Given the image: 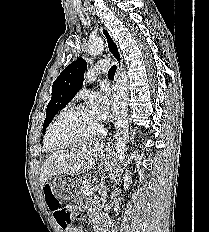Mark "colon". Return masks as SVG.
Listing matches in <instances>:
<instances>
[{
  "label": "colon",
  "mask_w": 209,
  "mask_h": 232,
  "mask_svg": "<svg viewBox=\"0 0 209 232\" xmlns=\"http://www.w3.org/2000/svg\"><path fill=\"white\" fill-rule=\"evenodd\" d=\"M45 194L47 205L52 211L56 226L68 227L72 219L70 209L67 206L61 205L50 189H46Z\"/></svg>",
  "instance_id": "1"
}]
</instances>
